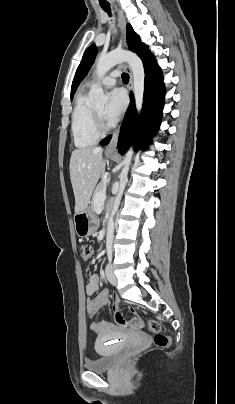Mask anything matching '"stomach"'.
Here are the masks:
<instances>
[{
	"label": "stomach",
	"instance_id": "stomach-1",
	"mask_svg": "<svg viewBox=\"0 0 235 404\" xmlns=\"http://www.w3.org/2000/svg\"><path fill=\"white\" fill-rule=\"evenodd\" d=\"M98 220L91 207L74 215V226L79 237H87L97 229Z\"/></svg>",
	"mask_w": 235,
	"mask_h": 404
}]
</instances>
